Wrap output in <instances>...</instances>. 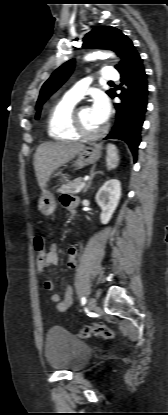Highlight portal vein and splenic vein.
Wrapping results in <instances>:
<instances>
[{"label":"portal vein and splenic vein","instance_id":"1","mask_svg":"<svg viewBox=\"0 0 168 415\" xmlns=\"http://www.w3.org/2000/svg\"><path fill=\"white\" fill-rule=\"evenodd\" d=\"M86 185V181H83L76 190V193H79Z\"/></svg>","mask_w":168,"mask_h":415}]
</instances>
